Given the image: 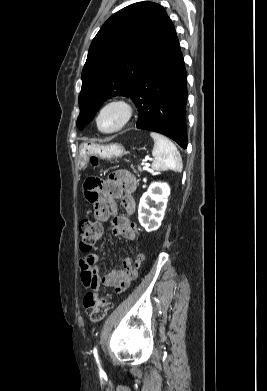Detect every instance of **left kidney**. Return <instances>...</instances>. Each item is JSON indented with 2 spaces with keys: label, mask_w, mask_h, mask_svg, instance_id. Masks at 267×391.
Returning <instances> with one entry per match:
<instances>
[{
  "label": "left kidney",
  "mask_w": 267,
  "mask_h": 391,
  "mask_svg": "<svg viewBox=\"0 0 267 391\" xmlns=\"http://www.w3.org/2000/svg\"><path fill=\"white\" fill-rule=\"evenodd\" d=\"M169 195L168 184L161 182L152 183L142 195L138 207V220L146 231H155L161 226Z\"/></svg>",
  "instance_id": "obj_1"
}]
</instances>
